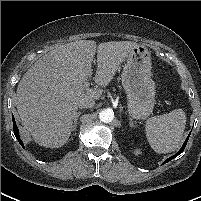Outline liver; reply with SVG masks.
<instances>
[{"mask_svg":"<svg viewBox=\"0 0 201 201\" xmlns=\"http://www.w3.org/2000/svg\"><path fill=\"white\" fill-rule=\"evenodd\" d=\"M130 41L100 43L80 40L61 45L36 61L17 87L16 106L21 121L39 145L63 146L71 134L78 103L83 98L98 100L103 90L85 89L92 76L97 50L95 83L106 87L132 48Z\"/></svg>","mask_w":201,"mask_h":201,"instance_id":"1","label":"liver"}]
</instances>
